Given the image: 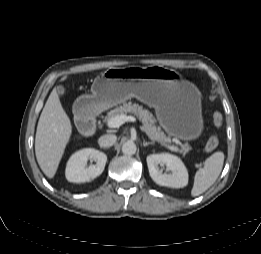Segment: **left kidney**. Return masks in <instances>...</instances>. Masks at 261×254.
Listing matches in <instances>:
<instances>
[{"mask_svg":"<svg viewBox=\"0 0 261 254\" xmlns=\"http://www.w3.org/2000/svg\"><path fill=\"white\" fill-rule=\"evenodd\" d=\"M146 161L149 174L156 184L171 188H183L188 184V171L177 156L168 153L151 154ZM164 165L171 173H163L159 169V166Z\"/></svg>","mask_w":261,"mask_h":254,"instance_id":"1","label":"left kidney"}]
</instances>
